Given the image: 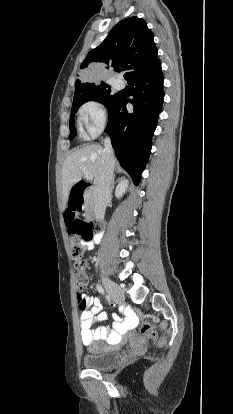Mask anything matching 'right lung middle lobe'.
Masks as SVG:
<instances>
[{
    "label": "right lung middle lobe",
    "mask_w": 233,
    "mask_h": 414,
    "mask_svg": "<svg viewBox=\"0 0 233 414\" xmlns=\"http://www.w3.org/2000/svg\"><path fill=\"white\" fill-rule=\"evenodd\" d=\"M119 94H111L110 86L107 84L99 85L90 89L73 100L71 116H70V140L76 135L74 115L79 107L87 101H98L104 104L109 109L113 103L118 99Z\"/></svg>",
    "instance_id": "dd1d6c3e"
}]
</instances>
